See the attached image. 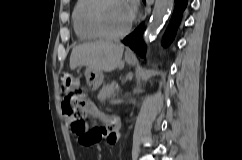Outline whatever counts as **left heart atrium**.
Returning <instances> with one entry per match:
<instances>
[{
	"mask_svg": "<svg viewBox=\"0 0 242 160\" xmlns=\"http://www.w3.org/2000/svg\"><path fill=\"white\" fill-rule=\"evenodd\" d=\"M125 2L129 8V11H130L132 17H134L136 14L137 8H138L137 0H125Z\"/></svg>",
	"mask_w": 242,
	"mask_h": 160,
	"instance_id": "obj_1",
	"label": "left heart atrium"
}]
</instances>
